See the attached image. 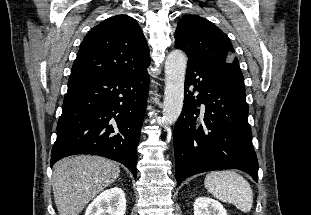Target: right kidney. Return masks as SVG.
Wrapping results in <instances>:
<instances>
[{"label": "right kidney", "instance_id": "ca27d5eb", "mask_svg": "<svg viewBox=\"0 0 311 215\" xmlns=\"http://www.w3.org/2000/svg\"><path fill=\"white\" fill-rule=\"evenodd\" d=\"M126 211L125 193L113 187L99 194L86 209L85 215H124Z\"/></svg>", "mask_w": 311, "mask_h": 215}]
</instances>
